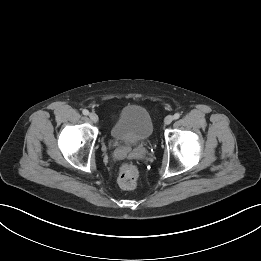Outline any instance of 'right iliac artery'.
<instances>
[{"instance_id":"obj_1","label":"right iliac artery","mask_w":261,"mask_h":261,"mask_svg":"<svg viewBox=\"0 0 261 261\" xmlns=\"http://www.w3.org/2000/svg\"><path fill=\"white\" fill-rule=\"evenodd\" d=\"M82 113H83L84 115H88V114H89V111H88L87 109H84V110L82 111Z\"/></svg>"}]
</instances>
